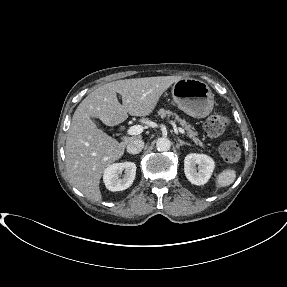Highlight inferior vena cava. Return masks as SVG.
Wrapping results in <instances>:
<instances>
[{"instance_id":"inferior-vena-cava-1","label":"inferior vena cava","mask_w":287,"mask_h":287,"mask_svg":"<svg viewBox=\"0 0 287 287\" xmlns=\"http://www.w3.org/2000/svg\"><path fill=\"white\" fill-rule=\"evenodd\" d=\"M144 147V141L139 138L132 139L128 144H127V152L130 154H138L142 151Z\"/></svg>"}]
</instances>
